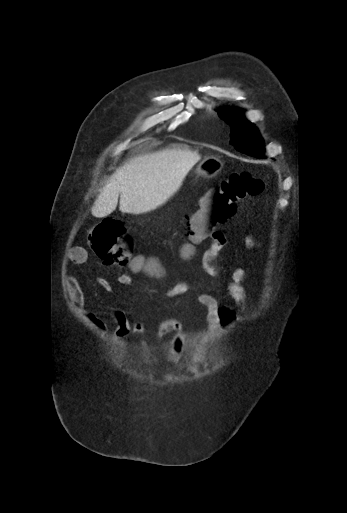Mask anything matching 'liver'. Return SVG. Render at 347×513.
Segmentation results:
<instances>
[{
	"label": "liver",
	"instance_id": "1",
	"mask_svg": "<svg viewBox=\"0 0 347 513\" xmlns=\"http://www.w3.org/2000/svg\"><path fill=\"white\" fill-rule=\"evenodd\" d=\"M201 159L196 151L166 148L131 158L111 176L92 207L103 218L117 207L141 214L165 203L181 186L188 171Z\"/></svg>",
	"mask_w": 347,
	"mask_h": 513
}]
</instances>
